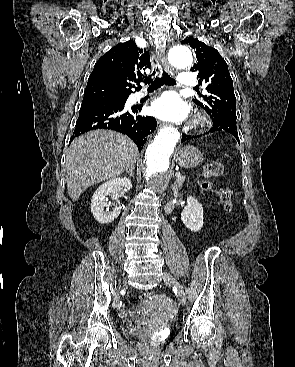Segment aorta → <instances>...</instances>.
I'll list each match as a JSON object with an SVG mask.
<instances>
[{
  "instance_id": "762f6f07",
  "label": "aorta",
  "mask_w": 295,
  "mask_h": 367,
  "mask_svg": "<svg viewBox=\"0 0 295 367\" xmlns=\"http://www.w3.org/2000/svg\"><path fill=\"white\" fill-rule=\"evenodd\" d=\"M168 59L177 68H190L193 62L191 51L183 46L173 47ZM179 139L180 134L176 128L165 127L147 147L145 177L150 185L155 186L168 177L169 158Z\"/></svg>"
}]
</instances>
